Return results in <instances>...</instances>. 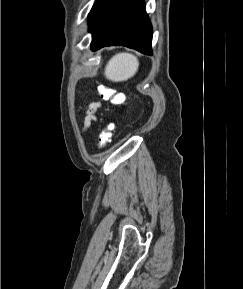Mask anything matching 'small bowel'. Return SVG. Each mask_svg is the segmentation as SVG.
I'll list each match as a JSON object with an SVG mask.
<instances>
[{"label":"small bowel","instance_id":"1","mask_svg":"<svg viewBox=\"0 0 243 289\" xmlns=\"http://www.w3.org/2000/svg\"><path fill=\"white\" fill-rule=\"evenodd\" d=\"M101 104L99 102H93L88 110V115L85 118L84 121V127L85 129L88 128L91 124V122L95 121L94 113L100 108Z\"/></svg>","mask_w":243,"mask_h":289}]
</instances>
